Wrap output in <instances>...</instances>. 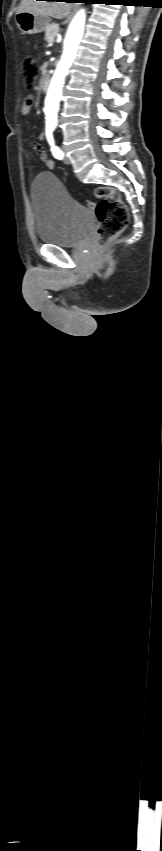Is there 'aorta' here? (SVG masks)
Instances as JSON below:
<instances>
[{
  "label": "aorta",
  "mask_w": 162,
  "mask_h": 851,
  "mask_svg": "<svg viewBox=\"0 0 162 851\" xmlns=\"http://www.w3.org/2000/svg\"><path fill=\"white\" fill-rule=\"evenodd\" d=\"M86 14L85 10L81 9L73 18L64 41V51L60 62L53 74L46 97V120L48 122L57 121V113L59 110V102L62 95V88L65 77L68 74L69 68L74 61L78 49V45L82 39L85 27Z\"/></svg>",
  "instance_id": "aorta-1"
}]
</instances>
